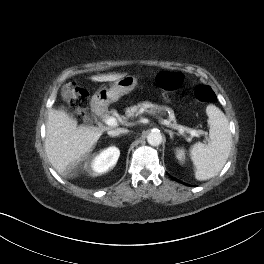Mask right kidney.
Instances as JSON below:
<instances>
[{
	"label": "right kidney",
	"instance_id": "obj_1",
	"mask_svg": "<svg viewBox=\"0 0 264 264\" xmlns=\"http://www.w3.org/2000/svg\"><path fill=\"white\" fill-rule=\"evenodd\" d=\"M120 151L117 147H109L97 155L91 162V170L95 174L107 172L116 165Z\"/></svg>",
	"mask_w": 264,
	"mask_h": 264
}]
</instances>
